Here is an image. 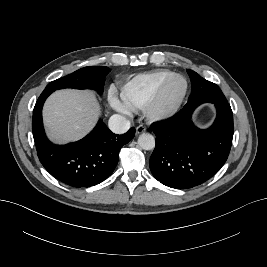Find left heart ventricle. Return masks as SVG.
Instances as JSON below:
<instances>
[{
  "instance_id": "b2bd125f",
  "label": "left heart ventricle",
  "mask_w": 267,
  "mask_h": 267,
  "mask_svg": "<svg viewBox=\"0 0 267 267\" xmlns=\"http://www.w3.org/2000/svg\"><path fill=\"white\" fill-rule=\"evenodd\" d=\"M184 87L185 84L182 79L173 80L165 92L163 98L164 105H171L176 102L183 93Z\"/></svg>"
}]
</instances>
